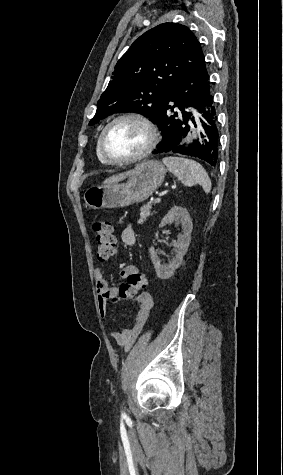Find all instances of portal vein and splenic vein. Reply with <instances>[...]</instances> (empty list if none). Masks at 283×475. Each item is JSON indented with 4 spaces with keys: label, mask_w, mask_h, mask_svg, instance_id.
Segmentation results:
<instances>
[{
    "label": "portal vein and splenic vein",
    "mask_w": 283,
    "mask_h": 475,
    "mask_svg": "<svg viewBox=\"0 0 283 475\" xmlns=\"http://www.w3.org/2000/svg\"><path fill=\"white\" fill-rule=\"evenodd\" d=\"M157 202H161V198H156L155 204H157Z\"/></svg>",
    "instance_id": "portal-vein-and-splenic-vein-1"
}]
</instances>
